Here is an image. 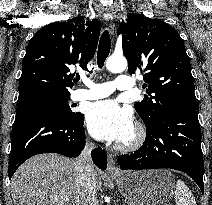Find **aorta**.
<instances>
[{
  "label": "aorta",
  "instance_id": "aorta-1",
  "mask_svg": "<svg viewBox=\"0 0 212 205\" xmlns=\"http://www.w3.org/2000/svg\"><path fill=\"white\" fill-rule=\"evenodd\" d=\"M106 68L112 73L123 72L127 68V60L123 56H110L106 60Z\"/></svg>",
  "mask_w": 212,
  "mask_h": 205
}]
</instances>
